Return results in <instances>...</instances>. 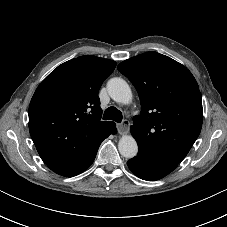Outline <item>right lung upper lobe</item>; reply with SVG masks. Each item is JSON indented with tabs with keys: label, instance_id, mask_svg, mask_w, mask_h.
<instances>
[{
	"label": "right lung upper lobe",
	"instance_id": "cb5924a9",
	"mask_svg": "<svg viewBox=\"0 0 227 227\" xmlns=\"http://www.w3.org/2000/svg\"><path fill=\"white\" fill-rule=\"evenodd\" d=\"M116 62L92 55L69 60L38 86L29 106V131L44 163L66 176L99 148L113 122L101 121L98 91Z\"/></svg>",
	"mask_w": 227,
	"mask_h": 227
}]
</instances>
